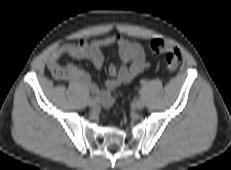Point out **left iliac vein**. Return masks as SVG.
<instances>
[{
	"instance_id": "1",
	"label": "left iliac vein",
	"mask_w": 231,
	"mask_h": 170,
	"mask_svg": "<svg viewBox=\"0 0 231 170\" xmlns=\"http://www.w3.org/2000/svg\"><path fill=\"white\" fill-rule=\"evenodd\" d=\"M134 108L136 110H142L144 108V101L141 99H138L134 104Z\"/></svg>"
}]
</instances>
